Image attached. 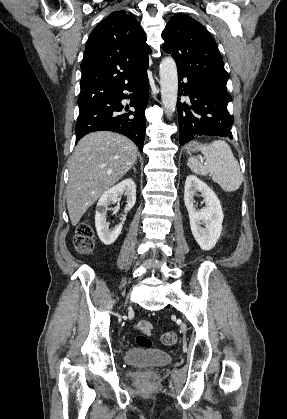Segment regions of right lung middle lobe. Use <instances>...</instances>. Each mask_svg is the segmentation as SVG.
<instances>
[{"instance_id": "1", "label": "right lung middle lobe", "mask_w": 287, "mask_h": 419, "mask_svg": "<svg viewBox=\"0 0 287 419\" xmlns=\"http://www.w3.org/2000/svg\"><path fill=\"white\" fill-rule=\"evenodd\" d=\"M84 107H79L80 110H82Z\"/></svg>"}]
</instances>
